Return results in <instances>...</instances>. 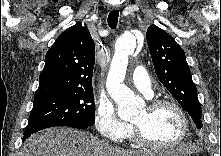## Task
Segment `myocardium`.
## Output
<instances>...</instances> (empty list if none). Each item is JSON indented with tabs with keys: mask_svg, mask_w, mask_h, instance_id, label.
<instances>
[{
	"mask_svg": "<svg viewBox=\"0 0 221 156\" xmlns=\"http://www.w3.org/2000/svg\"><path fill=\"white\" fill-rule=\"evenodd\" d=\"M148 109L150 111H156L162 107H171L173 108L179 115L182 121V132L179 138L171 144H157L150 141L143 133L142 129L135 123H132L133 127V136L136 142L144 147L158 149V150H168L175 148L182 144L187 138L190 132V121L185 110L175 101L169 99H156L151 101L148 104Z\"/></svg>",
	"mask_w": 221,
	"mask_h": 156,
	"instance_id": "myocardium-1",
	"label": "myocardium"
}]
</instances>
